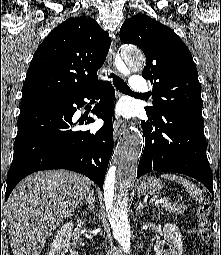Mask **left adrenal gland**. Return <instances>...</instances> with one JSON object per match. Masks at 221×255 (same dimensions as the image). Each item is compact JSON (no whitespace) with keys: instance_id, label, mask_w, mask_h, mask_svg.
<instances>
[{"instance_id":"1","label":"left adrenal gland","mask_w":221,"mask_h":255,"mask_svg":"<svg viewBox=\"0 0 221 255\" xmlns=\"http://www.w3.org/2000/svg\"><path fill=\"white\" fill-rule=\"evenodd\" d=\"M144 208V204L141 203V201L138 200L137 202V212L141 213L142 209Z\"/></svg>"}]
</instances>
